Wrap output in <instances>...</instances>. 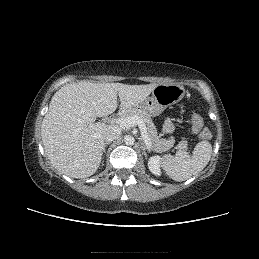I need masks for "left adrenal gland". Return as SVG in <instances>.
I'll return each instance as SVG.
<instances>
[{
  "instance_id": "1",
  "label": "left adrenal gland",
  "mask_w": 259,
  "mask_h": 259,
  "mask_svg": "<svg viewBox=\"0 0 259 259\" xmlns=\"http://www.w3.org/2000/svg\"><path fill=\"white\" fill-rule=\"evenodd\" d=\"M141 149L143 150V154L145 156H146V150L151 151V149L144 142H141Z\"/></svg>"
}]
</instances>
